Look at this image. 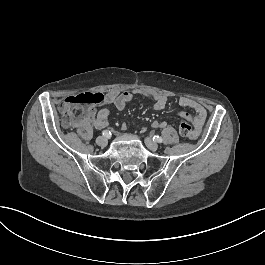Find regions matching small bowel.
I'll return each instance as SVG.
<instances>
[{"instance_id": "1", "label": "small bowel", "mask_w": 265, "mask_h": 265, "mask_svg": "<svg viewBox=\"0 0 265 265\" xmlns=\"http://www.w3.org/2000/svg\"><path fill=\"white\" fill-rule=\"evenodd\" d=\"M136 93H139V91H109L106 93L104 102L99 109H93L90 107L84 108L81 117L74 120L71 125L74 127L85 128L90 124H93L97 129H103L108 124L110 108L115 107L117 110H124L127 104L133 100L134 94ZM147 96L154 100L153 107L156 111H161L166 107L168 100L167 96L163 94H147ZM178 104L183 108H190L194 111V115L185 111H178L176 112V115L186 120L191 125L193 136L190 139H197L200 136L206 121L207 111L205 107L200 102L187 96H181L178 100ZM166 126L167 123L164 120L153 122V127L155 128H165ZM121 128L122 130H126V123H122Z\"/></svg>"}]
</instances>
